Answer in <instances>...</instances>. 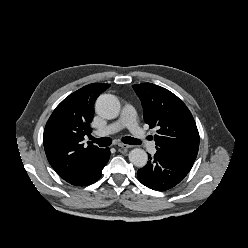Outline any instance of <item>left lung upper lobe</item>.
<instances>
[{"label":"left lung upper lobe","mask_w":248,"mask_h":248,"mask_svg":"<svg viewBox=\"0 0 248 248\" xmlns=\"http://www.w3.org/2000/svg\"><path fill=\"white\" fill-rule=\"evenodd\" d=\"M141 100L144 121L157 127V152L194 163L199 133L186 105L169 90L152 83L132 86Z\"/></svg>","instance_id":"left-lung-upper-lobe-1"}]
</instances>
